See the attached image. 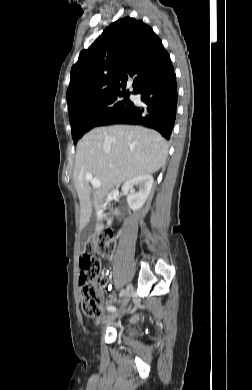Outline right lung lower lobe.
<instances>
[{
    "label": "right lung lower lobe",
    "instance_id": "1",
    "mask_svg": "<svg viewBox=\"0 0 252 390\" xmlns=\"http://www.w3.org/2000/svg\"><path fill=\"white\" fill-rule=\"evenodd\" d=\"M135 94L141 95L146 107L134 104L109 121L110 124L142 125L157 130L169 139L176 120L178 94L175 73L150 80L143 84Z\"/></svg>",
    "mask_w": 252,
    "mask_h": 390
}]
</instances>
